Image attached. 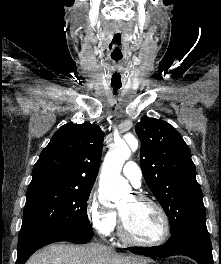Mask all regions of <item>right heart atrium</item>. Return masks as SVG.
<instances>
[{"label":"right heart atrium","instance_id":"d8ad5b80","mask_svg":"<svg viewBox=\"0 0 221 264\" xmlns=\"http://www.w3.org/2000/svg\"><path fill=\"white\" fill-rule=\"evenodd\" d=\"M85 214L93 229L101 235L108 236L116 228V213L105 207L95 192H91L86 200Z\"/></svg>","mask_w":221,"mask_h":264}]
</instances>
